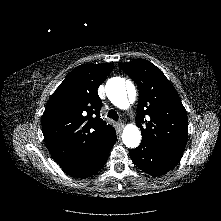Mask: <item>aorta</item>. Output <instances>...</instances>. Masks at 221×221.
I'll use <instances>...</instances> for the list:
<instances>
[{
  "label": "aorta",
  "instance_id": "aorta-1",
  "mask_svg": "<svg viewBox=\"0 0 221 221\" xmlns=\"http://www.w3.org/2000/svg\"><path fill=\"white\" fill-rule=\"evenodd\" d=\"M127 91L135 95V87L131 82H125L123 78L114 77L106 83V95L116 107L127 109L130 105ZM122 141L128 148H136L141 142V133L134 124L127 125L122 133Z\"/></svg>",
  "mask_w": 221,
  "mask_h": 221
}]
</instances>
